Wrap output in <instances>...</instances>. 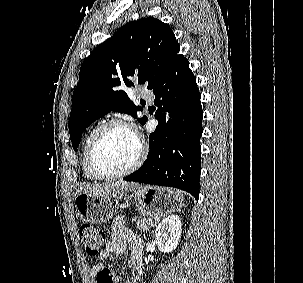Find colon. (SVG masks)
<instances>
[{
    "label": "colon",
    "instance_id": "5ec220e1",
    "mask_svg": "<svg viewBox=\"0 0 303 283\" xmlns=\"http://www.w3.org/2000/svg\"><path fill=\"white\" fill-rule=\"evenodd\" d=\"M80 236L86 253L90 256H96L100 253L105 243V233L96 230L91 225H84L80 229ZM119 279L115 272L109 269H102L96 275V283H118Z\"/></svg>",
    "mask_w": 303,
    "mask_h": 283
}]
</instances>
